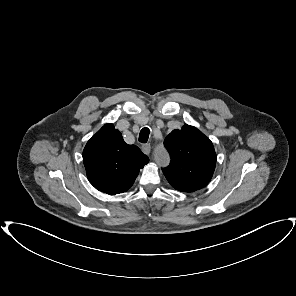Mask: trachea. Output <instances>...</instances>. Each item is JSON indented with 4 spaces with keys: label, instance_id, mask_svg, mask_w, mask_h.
I'll return each instance as SVG.
<instances>
[{
    "label": "trachea",
    "instance_id": "3493384b",
    "mask_svg": "<svg viewBox=\"0 0 296 296\" xmlns=\"http://www.w3.org/2000/svg\"><path fill=\"white\" fill-rule=\"evenodd\" d=\"M149 134L150 130L147 127L143 128L139 134V142L146 143L148 141Z\"/></svg>",
    "mask_w": 296,
    "mask_h": 296
}]
</instances>
